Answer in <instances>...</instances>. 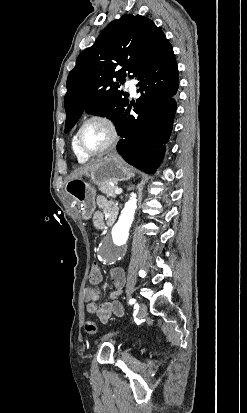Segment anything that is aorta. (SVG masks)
Here are the masks:
<instances>
[{
  "instance_id": "1",
  "label": "aorta",
  "mask_w": 247,
  "mask_h": 413,
  "mask_svg": "<svg viewBox=\"0 0 247 413\" xmlns=\"http://www.w3.org/2000/svg\"><path fill=\"white\" fill-rule=\"evenodd\" d=\"M136 207V194L132 193L130 199L126 202L125 207L121 211L118 222L113 227V236L115 237V241L119 244H123L127 241Z\"/></svg>"
}]
</instances>
